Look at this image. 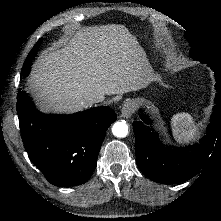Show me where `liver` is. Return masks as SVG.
<instances>
[{
    "instance_id": "obj_1",
    "label": "liver",
    "mask_w": 221,
    "mask_h": 221,
    "mask_svg": "<svg viewBox=\"0 0 221 221\" xmlns=\"http://www.w3.org/2000/svg\"><path fill=\"white\" fill-rule=\"evenodd\" d=\"M153 77L146 54L123 25L86 27L42 53L28 79L44 111L74 112L91 95L135 91Z\"/></svg>"
}]
</instances>
